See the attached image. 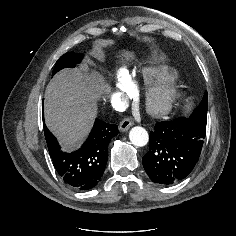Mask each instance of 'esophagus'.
Returning <instances> with one entry per match:
<instances>
[{"instance_id":"obj_1","label":"esophagus","mask_w":236,"mask_h":236,"mask_svg":"<svg viewBox=\"0 0 236 236\" xmlns=\"http://www.w3.org/2000/svg\"><path fill=\"white\" fill-rule=\"evenodd\" d=\"M133 124L134 122L131 118H125L121 121L119 125V130L122 132L127 131Z\"/></svg>"}]
</instances>
